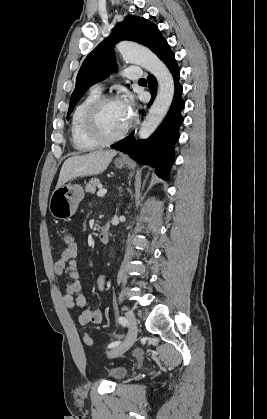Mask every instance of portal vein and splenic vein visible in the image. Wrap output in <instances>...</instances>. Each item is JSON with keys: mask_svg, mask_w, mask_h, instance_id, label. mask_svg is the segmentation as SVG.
Here are the masks:
<instances>
[{"mask_svg": "<svg viewBox=\"0 0 267 419\" xmlns=\"http://www.w3.org/2000/svg\"><path fill=\"white\" fill-rule=\"evenodd\" d=\"M106 193H107V190H106V189L101 188V189H99V190H98V192H97V196H98V197H103Z\"/></svg>", "mask_w": 267, "mask_h": 419, "instance_id": "obj_1", "label": "portal vein and splenic vein"}]
</instances>
